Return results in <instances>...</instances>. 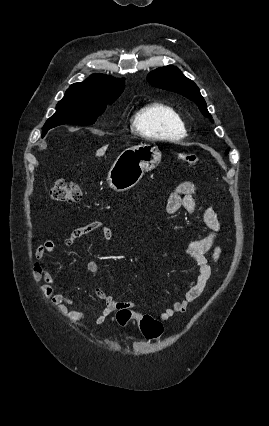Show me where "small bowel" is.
Here are the masks:
<instances>
[{"mask_svg":"<svg viewBox=\"0 0 269 426\" xmlns=\"http://www.w3.org/2000/svg\"><path fill=\"white\" fill-rule=\"evenodd\" d=\"M195 194V185L192 182H184L167 199L166 211L170 216H174L181 209H184L189 214L195 215L208 227L210 234L201 239L191 240L184 246L183 251L196 263L197 272L192 277L184 297L173 302L169 307L157 314V319L162 322L168 321L176 314L184 313L188 306L202 295L209 281L217 272V269L212 267L206 255L211 252L212 261L215 264L218 263L222 251L219 246H215V240L221 231V223L214 210L209 208L200 210L198 208ZM96 230L101 231L102 238L105 241H109L113 237L112 230L108 226L100 221H94L72 230L64 239L63 244L66 247H71L79 238ZM54 249L55 243L52 240H46L37 247L33 264V276L35 281H43L41 291L44 296L62 313L66 314L68 309L75 305L76 300L61 292H55V279L45 264L46 255L52 253ZM86 269L90 275L96 276L99 266L96 262L90 261L86 264ZM58 288L61 289L62 287ZM95 293L104 302L101 311L93 315V320L96 324L104 323L111 314L122 307L133 308L135 306L131 301L115 300L110 294L99 287L95 288ZM78 315H82V313ZM142 316L143 314L135 312L132 319L139 322Z\"/></svg>","mask_w":269,"mask_h":426,"instance_id":"1","label":"small bowel"}]
</instances>
